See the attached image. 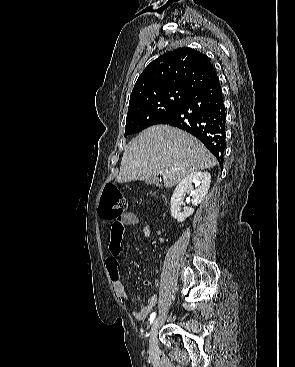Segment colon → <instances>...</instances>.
I'll list each match as a JSON object with an SVG mask.
<instances>
[{"label":"colon","instance_id":"5ec220e1","mask_svg":"<svg viewBox=\"0 0 295 367\" xmlns=\"http://www.w3.org/2000/svg\"><path fill=\"white\" fill-rule=\"evenodd\" d=\"M127 207V201L114 184L105 186L101 199V215L103 218L119 221Z\"/></svg>","mask_w":295,"mask_h":367}]
</instances>
